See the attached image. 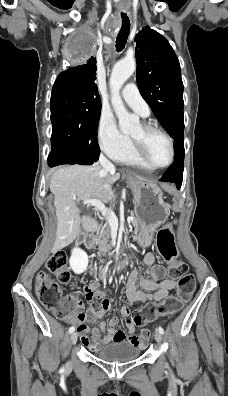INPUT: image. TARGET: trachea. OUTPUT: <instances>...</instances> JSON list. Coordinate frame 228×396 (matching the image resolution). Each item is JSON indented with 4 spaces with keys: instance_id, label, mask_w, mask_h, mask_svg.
Masks as SVG:
<instances>
[{
    "instance_id": "3493384b",
    "label": "trachea",
    "mask_w": 228,
    "mask_h": 396,
    "mask_svg": "<svg viewBox=\"0 0 228 396\" xmlns=\"http://www.w3.org/2000/svg\"><path fill=\"white\" fill-rule=\"evenodd\" d=\"M121 18H122V26L121 29L118 33L117 39H116V50L117 52H120L124 49L129 32H130V20L129 17L127 16L126 13H121Z\"/></svg>"
}]
</instances>
